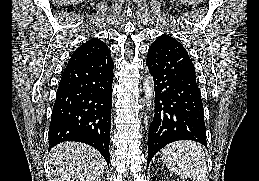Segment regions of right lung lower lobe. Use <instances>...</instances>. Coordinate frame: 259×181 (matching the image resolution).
I'll list each match as a JSON object with an SVG mask.
<instances>
[{"label": "right lung lower lobe", "instance_id": "1", "mask_svg": "<svg viewBox=\"0 0 259 181\" xmlns=\"http://www.w3.org/2000/svg\"><path fill=\"white\" fill-rule=\"evenodd\" d=\"M113 67L109 51L65 68L51 115L50 148L64 141L86 143L109 164Z\"/></svg>", "mask_w": 259, "mask_h": 181}]
</instances>
